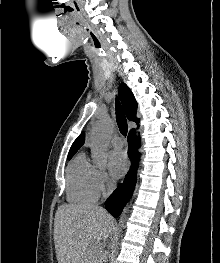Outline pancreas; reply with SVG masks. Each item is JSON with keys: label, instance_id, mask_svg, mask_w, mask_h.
<instances>
[{"label": "pancreas", "instance_id": "1", "mask_svg": "<svg viewBox=\"0 0 220 263\" xmlns=\"http://www.w3.org/2000/svg\"><path fill=\"white\" fill-rule=\"evenodd\" d=\"M101 251H94L93 252V259H94V262L93 263H101Z\"/></svg>", "mask_w": 220, "mask_h": 263}]
</instances>
